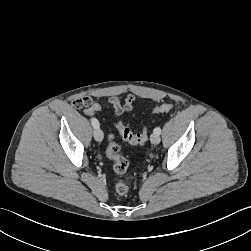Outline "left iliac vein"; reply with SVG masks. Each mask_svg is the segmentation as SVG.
Instances as JSON below:
<instances>
[{"label":"left iliac vein","mask_w":251,"mask_h":251,"mask_svg":"<svg viewBox=\"0 0 251 251\" xmlns=\"http://www.w3.org/2000/svg\"><path fill=\"white\" fill-rule=\"evenodd\" d=\"M150 140L152 144L157 145L160 143L161 138L159 134L153 133L150 137Z\"/></svg>","instance_id":"left-iliac-vein-1"}]
</instances>
